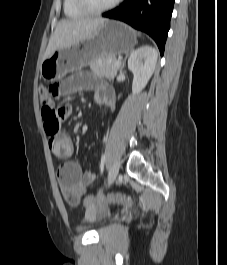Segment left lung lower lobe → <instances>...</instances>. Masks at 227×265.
<instances>
[{"label":"left lung lower lobe","instance_id":"obj_1","mask_svg":"<svg viewBox=\"0 0 227 265\" xmlns=\"http://www.w3.org/2000/svg\"><path fill=\"white\" fill-rule=\"evenodd\" d=\"M174 2L175 0H125L114 10L103 13V17L123 21L146 32L155 40L163 55Z\"/></svg>","mask_w":227,"mask_h":265}]
</instances>
